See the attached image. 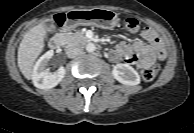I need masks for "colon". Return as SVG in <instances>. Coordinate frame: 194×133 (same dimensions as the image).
Masks as SVG:
<instances>
[{
  "label": "colon",
  "mask_w": 194,
  "mask_h": 133,
  "mask_svg": "<svg viewBox=\"0 0 194 133\" xmlns=\"http://www.w3.org/2000/svg\"><path fill=\"white\" fill-rule=\"evenodd\" d=\"M64 22V19L63 18H59L57 20V24L58 25H62V23ZM124 28L131 31V32H136L138 29H139V23L136 19L134 18H127L124 23ZM159 70V67L158 65H155L151 68H147V69H144L141 73L142 75V78L144 81H151L155 78L157 72Z\"/></svg>",
  "instance_id": "colon-1"
}]
</instances>
